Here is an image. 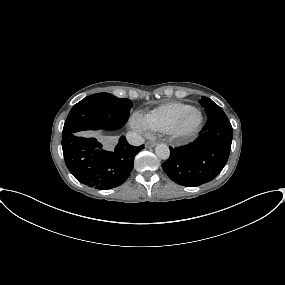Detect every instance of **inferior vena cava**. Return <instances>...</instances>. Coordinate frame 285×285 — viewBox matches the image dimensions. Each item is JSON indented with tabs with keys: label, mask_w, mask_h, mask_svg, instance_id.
I'll return each instance as SVG.
<instances>
[{
	"label": "inferior vena cava",
	"mask_w": 285,
	"mask_h": 285,
	"mask_svg": "<svg viewBox=\"0 0 285 285\" xmlns=\"http://www.w3.org/2000/svg\"><path fill=\"white\" fill-rule=\"evenodd\" d=\"M126 139L133 146H140L144 143V139L134 131L127 132Z\"/></svg>",
	"instance_id": "1"
}]
</instances>
